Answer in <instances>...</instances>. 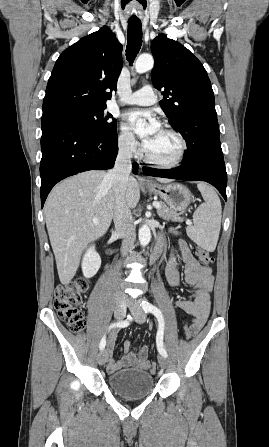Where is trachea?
Listing matches in <instances>:
<instances>
[{
  "label": "trachea",
  "mask_w": 269,
  "mask_h": 447,
  "mask_svg": "<svg viewBox=\"0 0 269 447\" xmlns=\"http://www.w3.org/2000/svg\"><path fill=\"white\" fill-rule=\"evenodd\" d=\"M126 57L132 64L142 45V25L140 21H128Z\"/></svg>",
  "instance_id": "trachea-1"
}]
</instances>
